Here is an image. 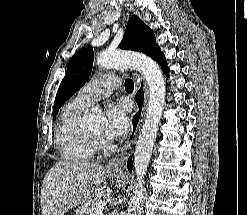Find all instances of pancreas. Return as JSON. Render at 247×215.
I'll list each match as a JSON object with an SVG mask.
<instances>
[{
  "label": "pancreas",
  "instance_id": "1",
  "mask_svg": "<svg viewBox=\"0 0 247 215\" xmlns=\"http://www.w3.org/2000/svg\"><path fill=\"white\" fill-rule=\"evenodd\" d=\"M100 202V200H92L82 205L79 209V215H96V208Z\"/></svg>",
  "mask_w": 247,
  "mask_h": 215
}]
</instances>
